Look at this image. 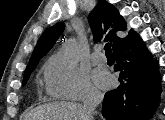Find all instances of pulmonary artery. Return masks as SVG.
<instances>
[{
  "label": "pulmonary artery",
  "instance_id": "pulmonary-artery-1",
  "mask_svg": "<svg viewBox=\"0 0 165 120\" xmlns=\"http://www.w3.org/2000/svg\"><path fill=\"white\" fill-rule=\"evenodd\" d=\"M92 59L95 63H105L106 62V56L105 54L101 51V47H96L95 51L92 54Z\"/></svg>",
  "mask_w": 165,
  "mask_h": 120
}]
</instances>
